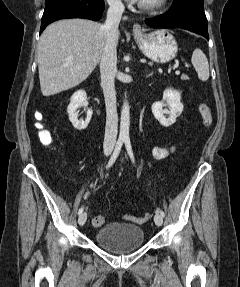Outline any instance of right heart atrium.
<instances>
[{
    "mask_svg": "<svg viewBox=\"0 0 240 287\" xmlns=\"http://www.w3.org/2000/svg\"><path fill=\"white\" fill-rule=\"evenodd\" d=\"M111 7L118 8L121 6V0H107Z\"/></svg>",
    "mask_w": 240,
    "mask_h": 287,
    "instance_id": "right-heart-atrium-1",
    "label": "right heart atrium"
}]
</instances>
